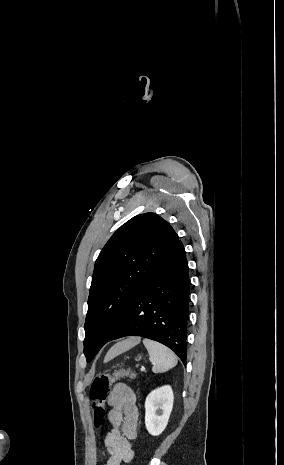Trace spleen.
<instances>
[{
	"label": "spleen",
	"mask_w": 284,
	"mask_h": 465,
	"mask_svg": "<svg viewBox=\"0 0 284 465\" xmlns=\"http://www.w3.org/2000/svg\"><path fill=\"white\" fill-rule=\"evenodd\" d=\"M143 345H145L151 363H154L152 367L153 373H166L172 367H175L178 363V359L170 349L156 343V341H149L144 339Z\"/></svg>",
	"instance_id": "3e777b00"
}]
</instances>
